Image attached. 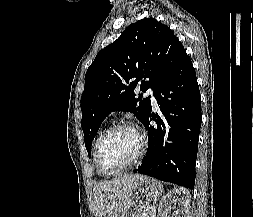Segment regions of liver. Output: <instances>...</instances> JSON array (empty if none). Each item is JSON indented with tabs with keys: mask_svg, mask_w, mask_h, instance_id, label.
Here are the masks:
<instances>
[{
	"mask_svg": "<svg viewBox=\"0 0 253 217\" xmlns=\"http://www.w3.org/2000/svg\"><path fill=\"white\" fill-rule=\"evenodd\" d=\"M140 174H125L113 180L102 181L93 188V210L95 217H119L129 203Z\"/></svg>",
	"mask_w": 253,
	"mask_h": 217,
	"instance_id": "obj_1",
	"label": "liver"
}]
</instances>
